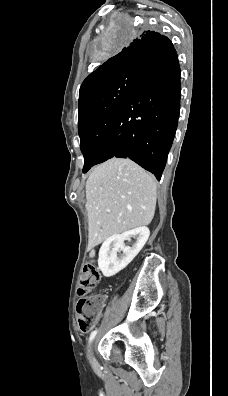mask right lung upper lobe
<instances>
[{"mask_svg": "<svg viewBox=\"0 0 228 396\" xmlns=\"http://www.w3.org/2000/svg\"><path fill=\"white\" fill-rule=\"evenodd\" d=\"M166 41H169V39L158 32L144 31L127 47L108 59L83 81L80 87L79 106L89 93L106 81L134 70H140L142 62Z\"/></svg>", "mask_w": 228, "mask_h": 396, "instance_id": "1", "label": "right lung upper lobe"}]
</instances>
